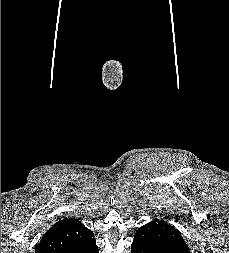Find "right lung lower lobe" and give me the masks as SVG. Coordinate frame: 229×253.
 Returning <instances> with one entry per match:
<instances>
[{
    "label": "right lung lower lobe",
    "mask_w": 229,
    "mask_h": 253,
    "mask_svg": "<svg viewBox=\"0 0 229 253\" xmlns=\"http://www.w3.org/2000/svg\"><path fill=\"white\" fill-rule=\"evenodd\" d=\"M70 253H98L95 240L91 243H88L84 246H81V247L71 251Z\"/></svg>",
    "instance_id": "1"
}]
</instances>
